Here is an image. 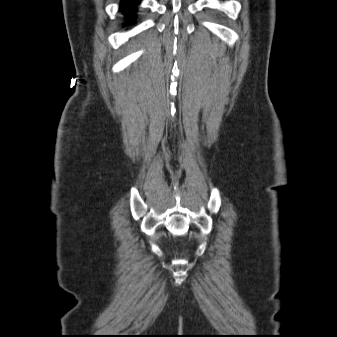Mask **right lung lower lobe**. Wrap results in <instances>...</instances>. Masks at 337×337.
Returning a JSON list of instances; mask_svg holds the SVG:
<instances>
[{"label":"right lung lower lobe","mask_w":337,"mask_h":337,"mask_svg":"<svg viewBox=\"0 0 337 337\" xmlns=\"http://www.w3.org/2000/svg\"><path fill=\"white\" fill-rule=\"evenodd\" d=\"M140 0H122L120 10L125 14L127 21L135 20V12Z\"/></svg>","instance_id":"obj_1"}]
</instances>
